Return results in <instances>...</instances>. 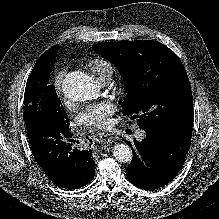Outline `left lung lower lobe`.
Wrapping results in <instances>:
<instances>
[{
	"instance_id": "1",
	"label": "left lung lower lobe",
	"mask_w": 219,
	"mask_h": 219,
	"mask_svg": "<svg viewBox=\"0 0 219 219\" xmlns=\"http://www.w3.org/2000/svg\"><path fill=\"white\" fill-rule=\"evenodd\" d=\"M146 133L141 142L134 141V149L131 146L133 159L127 168V177L138 188L155 190L167 185L181 170L192 130L172 134Z\"/></svg>"
}]
</instances>
